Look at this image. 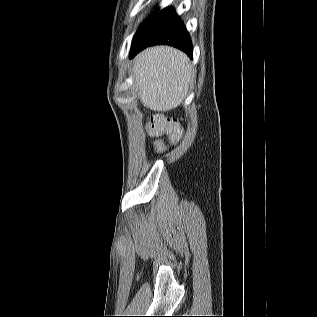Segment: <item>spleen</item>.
Masks as SVG:
<instances>
[{
	"label": "spleen",
	"instance_id": "spleen-1",
	"mask_svg": "<svg viewBox=\"0 0 317 317\" xmlns=\"http://www.w3.org/2000/svg\"><path fill=\"white\" fill-rule=\"evenodd\" d=\"M132 72L140 100L154 111L179 106L192 80L188 57L170 47L147 49L135 59Z\"/></svg>",
	"mask_w": 317,
	"mask_h": 317
}]
</instances>
